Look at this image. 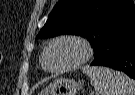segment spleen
I'll return each mask as SVG.
<instances>
[{"instance_id":"spleen-1","label":"spleen","mask_w":135,"mask_h":95,"mask_svg":"<svg viewBox=\"0 0 135 95\" xmlns=\"http://www.w3.org/2000/svg\"><path fill=\"white\" fill-rule=\"evenodd\" d=\"M96 95H135V81L121 72L105 67L84 66Z\"/></svg>"}]
</instances>
